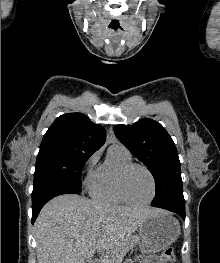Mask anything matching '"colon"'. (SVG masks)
<instances>
[{"instance_id": "colon-1", "label": "colon", "mask_w": 220, "mask_h": 263, "mask_svg": "<svg viewBox=\"0 0 220 263\" xmlns=\"http://www.w3.org/2000/svg\"><path fill=\"white\" fill-rule=\"evenodd\" d=\"M175 259V253L173 248H167L162 253V260L165 263H172Z\"/></svg>"}]
</instances>
